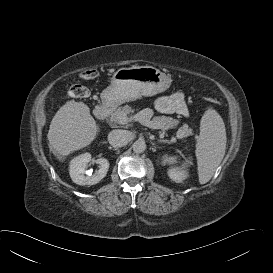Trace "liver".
Segmentation results:
<instances>
[{
	"mask_svg": "<svg viewBox=\"0 0 273 273\" xmlns=\"http://www.w3.org/2000/svg\"><path fill=\"white\" fill-rule=\"evenodd\" d=\"M99 131L86 104L68 101L51 121L47 134L49 148L60 159L90 145Z\"/></svg>",
	"mask_w": 273,
	"mask_h": 273,
	"instance_id": "obj_1",
	"label": "liver"
}]
</instances>
